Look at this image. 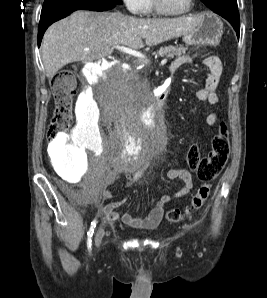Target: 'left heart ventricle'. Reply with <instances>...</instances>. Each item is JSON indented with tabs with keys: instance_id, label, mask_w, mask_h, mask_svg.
Segmentation results:
<instances>
[{
	"instance_id": "1",
	"label": "left heart ventricle",
	"mask_w": 267,
	"mask_h": 298,
	"mask_svg": "<svg viewBox=\"0 0 267 298\" xmlns=\"http://www.w3.org/2000/svg\"><path fill=\"white\" fill-rule=\"evenodd\" d=\"M162 5L171 12H181L189 4V0H161Z\"/></svg>"
}]
</instances>
